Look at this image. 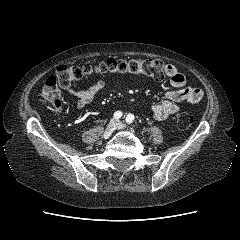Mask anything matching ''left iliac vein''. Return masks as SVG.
<instances>
[{
	"mask_svg": "<svg viewBox=\"0 0 240 240\" xmlns=\"http://www.w3.org/2000/svg\"><path fill=\"white\" fill-rule=\"evenodd\" d=\"M127 127L125 124H123L122 122H117V129L118 130H125Z\"/></svg>",
	"mask_w": 240,
	"mask_h": 240,
	"instance_id": "left-iliac-vein-1",
	"label": "left iliac vein"
}]
</instances>
